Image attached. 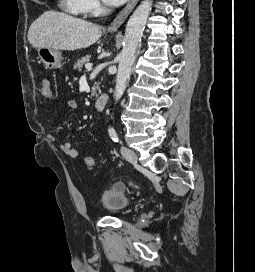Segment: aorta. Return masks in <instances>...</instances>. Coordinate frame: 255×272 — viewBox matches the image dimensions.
Wrapping results in <instances>:
<instances>
[{"instance_id": "aorta-1", "label": "aorta", "mask_w": 255, "mask_h": 272, "mask_svg": "<svg viewBox=\"0 0 255 272\" xmlns=\"http://www.w3.org/2000/svg\"><path fill=\"white\" fill-rule=\"evenodd\" d=\"M151 9L152 0H144L128 20L123 39V49L119 55V65L114 92L116 101L122 97L127 87L136 58V52L141 43L143 31Z\"/></svg>"}]
</instances>
